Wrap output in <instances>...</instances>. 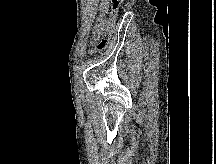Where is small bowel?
Returning a JSON list of instances; mask_svg holds the SVG:
<instances>
[{"mask_svg":"<svg viewBox=\"0 0 216 164\" xmlns=\"http://www.w3.org/2000/svg\"><path fill=\"white\" fill-rule=\"evenodd\" d=\"M108 3H109V0H102L101 2V12L102 14L100 15L98 21H97V25H99L100 23H102L104 21V13L108 10Z\"/></svg>","mask_w":216,"mask_h":164,"instance_id":"c3829d8e","label":"small bowel"}]
</instances>
